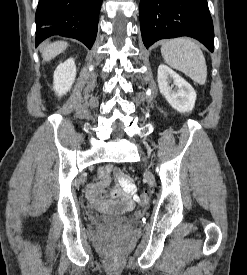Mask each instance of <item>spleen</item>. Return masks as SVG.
Instances as JSON below:
<instances>
[{"instance_id":"1","label":"spleen","mask_w":247,"mask_h":275,"mask_svg":"<svg viewBox=\"0 0 247 275\" xmlns=\"http://www.w3.org/2000/svg\"><path fill=\"white\" fill-rule=\"evenodd\" d=\"M161 54L169 66L183 72L194 82L200 85L205 84L206 61L195 41L184 37L167 40L161 47Z\"/></svg>"}]
</instances>
